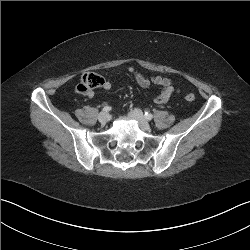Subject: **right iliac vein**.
Wrapping results in <instances>:
<instances>
[{
    "label": "right iliac vein",
    "mask_w": 250,
    "mask_h": 250,
    "mask_svg": "<svg viewBox=\"0 0 250 250\" xmlns=\"http://www.w3.org/2000/svg\"><path fill=\"white\" fill-rule=\"evenodd\" d=\"M109 119V114L107 112H101L98 115V120L102 123L105 124Z\"/></svg>",
    "instance_id": "1"
}]
</instances>
